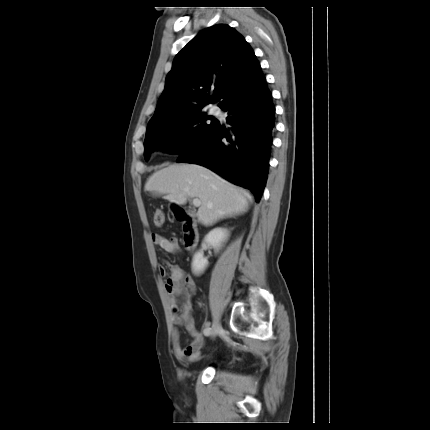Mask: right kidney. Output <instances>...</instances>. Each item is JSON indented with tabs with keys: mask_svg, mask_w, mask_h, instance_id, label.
I'll return each instance as SVG.
<instances>
[{
	"mask_svg": "<svg viewBox=\"0 0 430 430\" xmlns=\"http://www.w3.org/2000/svg\"><path fill=\"white\" fill-rule=\"evenodd\" d=\"M229 232L225 228H215L211 230L204 238V243L206 245L212 246L215 250V252H218L222 246V244L225 242V240L228 238ZM208 265V260L204 258L203 252H197L192 261V272L195 275H199L203 273L205 268Z\"/></svg>",
	"mask_w": 430,
	"mask_h": 430,
	"instance_id": "obj_1",
	"label": "right kidney"
}]
</instances>
